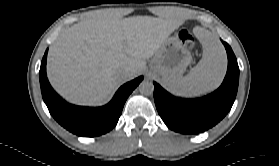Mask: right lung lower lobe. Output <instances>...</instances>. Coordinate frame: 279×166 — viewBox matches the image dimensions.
Segmentation results:
<instances>
[{"label": "right lung lower lobe", "instance_id": "98d812e1", "mask_svg": "<svg viewBox=\"0 0 279 166\" xmlns=\"http://www.w3.org/2000/svg\"><path fill=\"white\" fill-rule=\"evenodd\" d=\"M46 57L47 51L39 72L43 100L53 118L78 136L95 137L114 128L128 96L143 80L141 76L121 86L105 106L96 108L75 106L61 99L50 86L46 76Z\"/></svg>", "mask_w": 279, "mask_h": 166}]
</instances>
